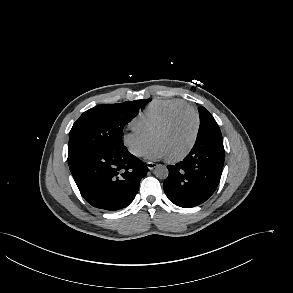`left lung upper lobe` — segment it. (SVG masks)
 Returning <instances> with one entry per match:
<instances>
[{"label": "left lung upper lobe", "mask_w": 293, "mask_h": 293, "mask_svg": "<svg viewBox=\"0 0 293 293\" xmlns=\"http://www.w3.org/2000/svg\"><path fill=\"white\" fill-rule=\"evenodd\" d=\"M200 116V127L197 138L216 135L222 138L221 131L213 116L203 107L198 108Z\"/></svg>", "instance_id": "obj_1"}]
</instances>
